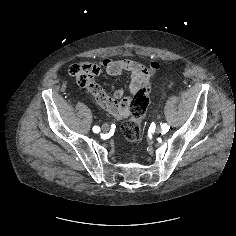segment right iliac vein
Returning <instances> with one entry per match:
<instances>
[{"instance_id":"obj_1","label":"right iliac vein","mask_w":236,"mask_h":236,"mask_svg":"<svg viewBox=\"0 0 236 236\" xmlns=\"http://www.w3.org/2000/svg\"><path fill=\"white\" fill-rule=\"evenodd\" d=\"M102 130L105 131V132H107V131L109 130V124L104 123V124L102 125Z\"/></svg>"}]
</instances>
